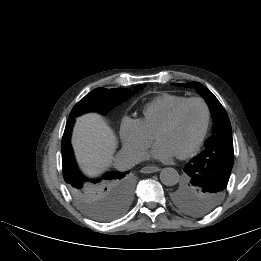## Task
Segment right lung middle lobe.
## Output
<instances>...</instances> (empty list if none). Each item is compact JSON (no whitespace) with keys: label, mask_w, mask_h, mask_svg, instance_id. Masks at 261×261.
<instances>
[{"label":"right lung middle lobe","mask_w":261,"mask_h":261,"mask_svg":"<svg viewBox=\"0 0 261 261\" xmlns=\"http://www.w3.org/2000/svg\"><path fill=\"white\" fill-rule=\"evenodd\" d=\"M143 87L144 85H138L133 90L96 88L74 106L69 118L88 111L106 114ZM63 176L80 209L95 220H112L129 204L131 187L124 176L104 178L105 181L102 182L100 179L96 182L84 181L80 172H63Z\"/></svg>","instance_id":"dd1d6c3e"}]
</instances>
